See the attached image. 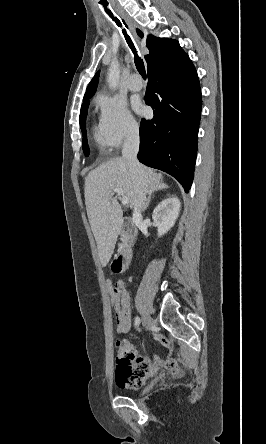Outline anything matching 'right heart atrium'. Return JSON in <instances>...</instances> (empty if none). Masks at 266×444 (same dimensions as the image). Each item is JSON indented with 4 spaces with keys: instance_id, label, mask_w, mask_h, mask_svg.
<instances>
[{
    "instance_id": "1",
    "label": "right heart atrium",
    "mask_w": 266,
    "mask_h": 444,
    "mask_svg": "<svg viewBox=\"0 0 266 444\" xmlns=\"http://www.w3.org/2000/svg\"><path fill=\"white\" fill-rule=\"evenodd\" d=\"M97 104L100 107V131L109 147L118 149L138 135L139 125L122 100L102 95Z\"/></svg>"
}]
</instances>
